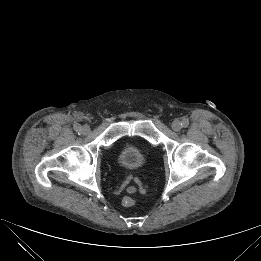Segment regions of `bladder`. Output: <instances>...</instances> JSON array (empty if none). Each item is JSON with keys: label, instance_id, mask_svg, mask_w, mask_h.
Listing matches in <instances>:
<instances>
[{"label": "bladder", "instance_id": "bladder-1", "mask_svg": "<svg viewBox=\"0 0 261 261\" xmlns=\"http://www.w3.org/2000/svg\"><path fill=\"white\" fill-rule=\"evenodd\" d=\"M148 156V149L144 144L124 141L120 145L118 161L124 168L134 170L140 168Z\"/></svg>", "mask_w": 261, "mask_h": 261}]
</instances>
